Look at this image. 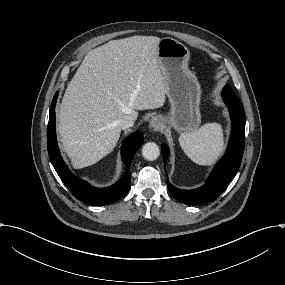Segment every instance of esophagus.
I'll use <instances>...</instances> for the list:
<instances>
[{"label":"esophagus","mask_w":285,"mask_h":285,"mask_svg":"<svg viewBox=\"0 0 285 285\" xmlns=\"http://www.w3.org/2000/svg\"><path fill=\"white\" fill-rule=\"evenodd\" d=\"M162 124L159 119L154 118L150 121V128L154 131L161 129Z\"/></svg>","instance_id":"34e87169"}]
</instances>
